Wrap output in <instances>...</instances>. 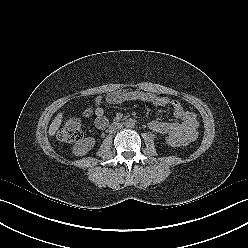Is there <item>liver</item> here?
<instances>
[{
	"label": "liver",
	"instance_id": "1",
	"mask_svg": "<svg viewBox=\"0 0 248 248\" xmlns=\"http://www.w3.org/2000/svg\"><path fill=\"white\" fill-rule=\"evenodd\" d=\"M63 113H58L55 119L52 121V123L49 126L48 133L50 136H54L56 131L59 129L62 123Z\"/></svg>",
	"mask_w": 248,
	"mask_h": 248
}]
</instances>
